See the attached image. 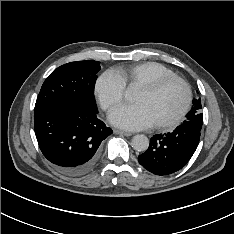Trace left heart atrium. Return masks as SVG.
Wrapping results in <instances>:
<instances>
[{
    "mask_svg": "<svg viewBox=\"0 0 234 234\" xmlns=\"http://www.w3.org/2000/svg\"><path fill=\"white\" fill-rule=\"evenodd\" d=\"M109 120L112 124L128 130H139L153 125L148 113L139 104L115 108L110 112Z\"/></svg>",
    "mask_w": 234,
    "mask_h": 234,
    "instance_id": "obj_1",
    "label": "left heart atrium"
}]
</instances>
